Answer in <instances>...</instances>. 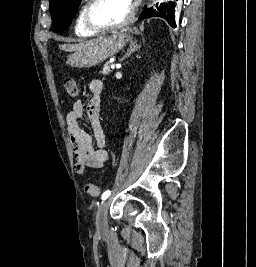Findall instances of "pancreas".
<instances>
[{
	"label": "pancreas",
	"instance_id": "cf45deb5",
	"mask_svg": "<svg viewBox=\"0 0 256 267\" xmlns=\"http://www.w3.org/2000/svg\"><path fill=\"white\" fill-rule=\"evenodd\" d=\"M109 72H111V70L109 68V64H105V66L103 68V72H101V74H109Z\"/></svg>",
	"mask_w": 256,
	"mask_h": 267
}]
</instances>
